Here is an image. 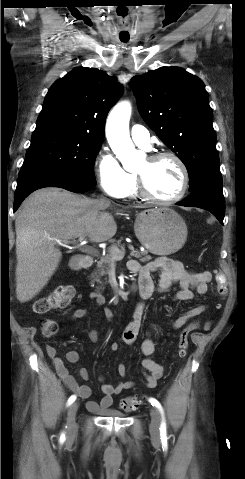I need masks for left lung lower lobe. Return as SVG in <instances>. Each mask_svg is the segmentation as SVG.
Wrapping results in <instances>:
<instances>
[{
	"instance_id": "1",
	"label": "left lung lower lobe",
	"mask_w": 245,
	"mask_h": 479,
	"mask_svg": "<svg viewBox=\"0 0 245 479\" xmlns=\"http://www.w3.org/2000/svg\"><path fill=\"white\" fill-rule=\"evenodd\" d=\"M224 196L221 175L209 178L199 184L192 194L177 205L198 207L211 212L223 225L225 215Z\"/></svg>"
}]
</instances>
